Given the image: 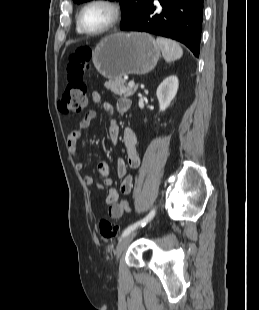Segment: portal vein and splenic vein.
<instances>
[{
	"mask_svg": "<svg viewBox=\"0 0 259 310\" xmlns=\"http://www.w3.org/2000/svg\"><path fill=\"white\" fill-rule=\"evenodd\" d=\"M128 87H134L135 86V82L134 81H130L128 82Z\"/></svg>",
	"mask_w": 259,
	"mask_h": 310,
	"instance_id": "portal-vein-and-splenic-vein-1",
	"label": "portal vein and splenic vein"
}]
</instances>
